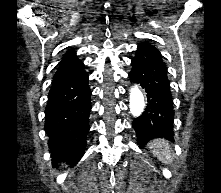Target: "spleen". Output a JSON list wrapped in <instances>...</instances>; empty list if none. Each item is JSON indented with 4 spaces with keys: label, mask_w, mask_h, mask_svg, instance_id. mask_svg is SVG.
<instances>
[{
    "label": "spleen",
    "mask_w": 221,
    "mask_h": 193,
    "mask_svg": "<svg viewBox=\"0 0 221 193\" xmlns=\"http://www.w3.org/2000/svg\"><path fill=\"white\" fill-rule=\"evenodd\" d=\"M149 148L162 163L171 164L173 162L170 145L164 139L153 140L149 143Z\"/></svg>",
    "instance_id": "spleen-1"
}]
</instances>
